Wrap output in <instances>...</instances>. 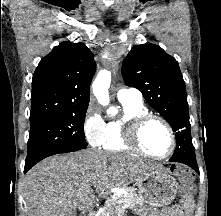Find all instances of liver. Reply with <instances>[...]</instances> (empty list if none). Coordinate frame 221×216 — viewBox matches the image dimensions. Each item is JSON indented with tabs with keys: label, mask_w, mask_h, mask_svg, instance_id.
Returning <instances> with one entry per match:
<instances>
[{
	"label": "liver",
	"mask_w": 221,
	"mask_h": 216,
	"mask_svg": "<svg viewBox=\"0 0 221 216\" xmlns=\"http://www.w3.org/2000/svg\"><path fill=\"white\" fill-rule=\"evenodd\" d=\"M162 167L123 155L98 150L46 158L26 175L24 199L28 216H81L91 213L95 195L126 187L144 173Z\"/></svg>",
	"instance_id": "liver-1"
}]
</instances>
